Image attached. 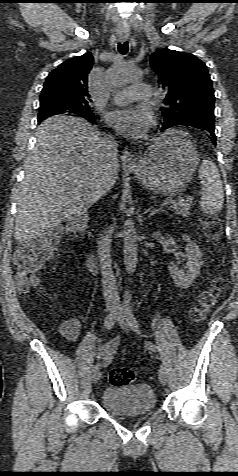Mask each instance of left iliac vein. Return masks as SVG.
Returning <instances> with one entry per match:
<instances>
[{
  "label": "left iliac vein",
  "instance_id": "1",
  "mask_svg": "<svg viewBox=\"0 0 238 476\" xmlns=\"http://www.w3.org/2000/svg\"><path fill=\"white\" fill-rule=\"evenodd\" d=\"M117 321H118V324L120 325V327L124 331L127 332L128 331V324L126 323L125 315L122 312L119 313ZM158 378H159V381L162 385L167 384V381H168L167 371H166V369L163 365H161L160 368H159Z\"/></svg>",
  "mask_w": 238,
  "mask_h": 476
}]
</instances>
